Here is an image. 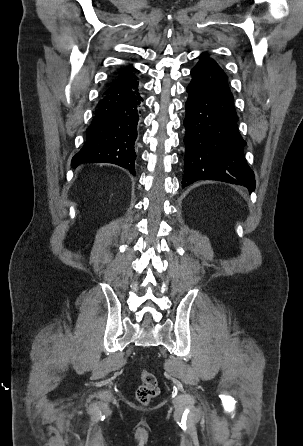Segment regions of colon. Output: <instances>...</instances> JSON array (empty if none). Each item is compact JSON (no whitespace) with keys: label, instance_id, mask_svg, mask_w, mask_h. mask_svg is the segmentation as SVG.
Here are the masks:
<instances>
[{"label":"colon","instance_id":"5ec220e1","mask_svg":"<svg viewBox=\"0 0 303 446\" xmlns=\"http://www.w3.org/2000/svg\"><path fill=\"white\" fill-rule=\"evenodd\" d=\"M141 380L136 390V399L146 405L159 394V385L156 376L146 369L141 371Z\"/></svg>","mask_w":303,"mask_h":446}]
</instances>
